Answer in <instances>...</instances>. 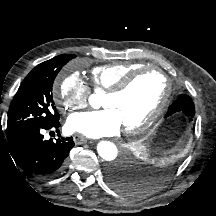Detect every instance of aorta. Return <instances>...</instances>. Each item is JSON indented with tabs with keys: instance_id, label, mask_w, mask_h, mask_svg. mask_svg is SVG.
<instances>
[{
	"instance_id": "aorta-1",
	"label": "aorta",
	"mask_w": 216,
	"mask_h": 216,
	"mask_svg": "<svg viewBox=\"0 0 216 216\" xmlns=\"http://www.w3.org/2000/svg\"><path fill=\"white\" fill-rule=\"evenodd\" d=\"M100 98L98 95H91L89 102L92 106H95L96 102H99ZM97 151L99 156L105 161H113L116 159L118 154V149L116 145L110 141H101L97 145Z\"/></svg>"
}]
</instances>
